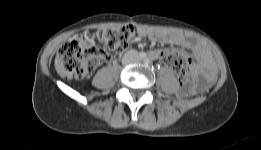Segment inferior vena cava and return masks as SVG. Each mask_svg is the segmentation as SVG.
Here are the masks:
<instances>
[{
    "label": "inferior vena cava",
    "instance_id": "inferior-vena-cava-1",
    "mask_svg": "<svg viewBox=\"0 0 261 150\" xmlns=\"http://www.w3.org/2000/svg\"><path fill=\"white\" fill-rule=\"evenodd\" d=\"M124 59L127 63L138 61L139 60L138 52L136 50H130L125 54Z\"/></svg>",
    "mask_w": 261,
    "mask_h": 150
}]
</instances>
